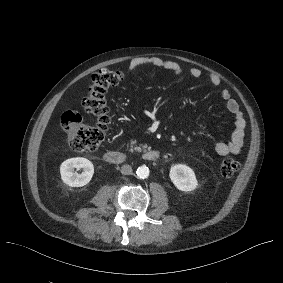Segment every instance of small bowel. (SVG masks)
<instances>
[{
  "mask_svg": "<svg viewBox=\"0 0 283 283\" xmlns=\"http://www.w3.org/2000/svg\"><path fill=\"white\" fill-rule=\"evenodd\" d=\"M141 67L162 68L175 75H179L183 72V68L178 62L165 60L158 56L137 57L132 59L128 64V72H132ZM189 73L193 78L202 77V71L198 68H191ZM208 80L214 86H218L221 83L220 78L213 74L208 75ZM220 94L222 99L226 102L227 110L233 115L234 130L229 141H219L216 143L215 150L217 154L221 156L238 154L244 144L246 121L242 115L238 102L231 97L229 90L223 88Z\"/></svg>",
  "mask_w": 283,
  "mask_h": 283,
  "instance_id": "c3829d8e",
  "label": "small bowel"
}]
</instances>
